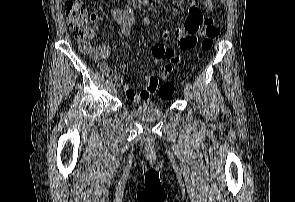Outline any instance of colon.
I'll use <instances>...</instances> for the list:
<instances>
[{"mask_svg": "<svg viewBox=\"0 0 295 202\" xmlns=\"http://www.w3.org/2000/svg\"><path fill=\"white\" fill-rule=\"evenodd\" d=\"M65 15L68 26L74 38L78 41L83 51L89 44L90 38L94 35V26L91 18L88 16L87 6L82 0H67L65 3ZM219 34V29L213 23H208L204 29V38L202 41L203 50H209L215 38ZM92 51V49H88ZM147 75H154V70H147ZM147 90H157L158 96L163 100H169L174 93V85L170 82L159 84V79H145Z\"/></svg>", "mask_w": 295, "mask_h": 202, "instance_id": "colon-1", "label": "colon"}]
</instances>
